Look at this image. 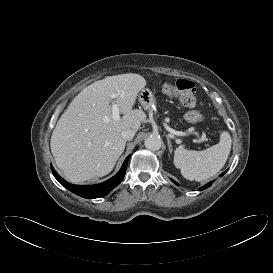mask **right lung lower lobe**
Listing matches in <instances>:
<instances>
[{
    "mask_svg": "<svg viewBox=\"0 0 273 273\" xmlns=\"http://www.w3.org/2000/svg\"><path fill=\"white\" fill-rule=\"evenodd\" d=\"M129 158H130V155L125 159L121 169L115 176L97 185L70 184L66 182L63 178H61L52 166H51V170L55 178L58 180V182L61 185H63L65 188L70 190L71 192L88 199L99 198V197L107 195L113 188H115L118 184H120V182L124 178Z\"/></svg>",
    "mask_w": 273,
    "mask_h": 273,
    "instance_id": "obj_1",
    "label": "right lung lower lobe"
}]
</instances>
